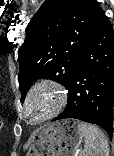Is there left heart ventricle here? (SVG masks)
Segmentation results:
<instances>
[{
  "label": "left heart ventricle",
  "instance_id": "left-heart-ventricle-1",
  "mask_svg": "<svg viewBox=\"0 0 114 156\" xmlns=\"http://www.w3.org/2000/svg\"><path fill=\"white\" fill-rule=\"evenodd\" d=\"M52 105L50 95L46 91H40L34 98L31 110L34 116H39L47 112Z\"/></svg>",
  "mask_w": 114,
  "mask_h": 156
}]
</instances>
